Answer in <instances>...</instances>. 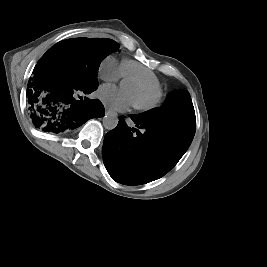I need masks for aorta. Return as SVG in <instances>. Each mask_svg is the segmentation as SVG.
Here are the masks:
<instances>
[{"label": "aorta", "mask_w": 267, "mask_h": 267, "mask_svg": "<svg viewBox=\"0 0 267 267\" xmlns=\"http://www.w3.org/2000/svg\"><path fill=\"white\" fill-rule=\"evenodd\" d=\"M117 124H118V117L115 113H109L103 117V126L107 130L114 129L117 126Z\"/></svg>", "instance_id": "1"}]
</instances>
